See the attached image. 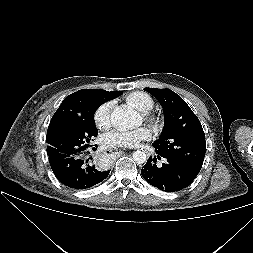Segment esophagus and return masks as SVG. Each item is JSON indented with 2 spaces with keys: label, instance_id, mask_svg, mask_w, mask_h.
<instances>
[{
  "label": "esophagus",
  "instance_id": "obj_1",
  "mask_svg": "<svg viewBox=\"0 0 253 253\" xmlns=\"http://www.w3.org/2000/svg\"><path fill=\"white\" fill-rule=\"evenodd\" d=\"M106 154H115V155H120L123 153V151L121 149H118V148H110V149H107L105 151Z\"/></svg>",
  "mask_w": 253,
  "mask_h": 253
}]
</instances>
